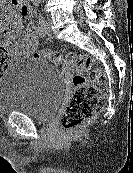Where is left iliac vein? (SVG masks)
Masks as SVG:
<instances>
[{"label":"left iliac vein","instance_id":"left-iliac-vein-1","mask_svg":"<svg viewBox=\"0 0 133 173\" xmlns=\"http://www.w3.org/2000/svg\"><path fill=\"white\" fill-rule=\"evenodd\" d=\"M43 36H51V23L49 20L45 21V26H44V30L42 33Z\"/></svg>","mask_w":133,"mask_h":173}]
</instances>
